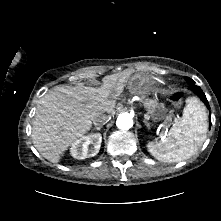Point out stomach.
<instances>
[{
    "instance_id": "0dacf381",
    "label": "stomach",
    "mask_w": 221,
    "mask_h": 221,
    "mask_svg": "<svg viewBox=\"0 0 221 221\" xmlns=\"http://www.w3.org/2000/svg\"><path fill=\"white\" fill-rule=\"evenodd\" d=\"M129 90L135 96L149 97L154 92V80L146 74L135 75L130 80Z\"/></svg>"
}]
</instances>
